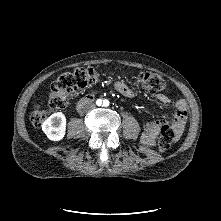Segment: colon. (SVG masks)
<instances>
[{"label": "colon", "mask_w": 221, "mask_h": 221, "mask_svg": "<svg viewBox=\"0 0 221 221\" xmlns=\"http://www.w3.org/2000/svg\"><path fill=\"white\" fill-rule=\"evenodd\" d=\"M101 78V74L94 68H81L73 72L63 73L51 86L49 105L53 109H62L67 104V97L73 92L91 88ZM139 84L152 93L162 92L166 89L165 80L152 72H140L137 76ZM46 119V112L36 109L31 115V122L40 126ZM178 135L169 125L161 128L158 146L161 151L168 150L176 141Z\"/></svg>", "instance_id": "5ec220e1"}]
</instances>
